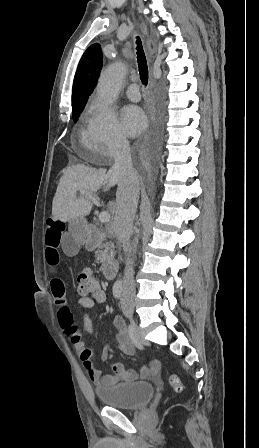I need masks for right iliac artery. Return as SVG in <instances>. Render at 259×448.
<instances>
[{"label": "right iliac artery", "instance_id": "obj_1", "mask_svg": "<svg viewBox=\"0 0 259 448\" xmlns=\"http://www.w3.org/2000/svg\"><path fill=\"white\" fill-rule=\"evenodd\" d=\"M122 293V285L120 283H116L113 286V295L115 298L119 299Z\"/></svg>", "mask_w": 259, "mask_h": 448}]
</instances>
